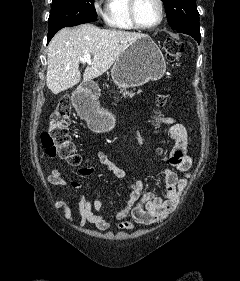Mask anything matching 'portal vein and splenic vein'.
Instances as JSON below:
<instances>
[{
	"label": "portal vein and splenic vein",
	"instance_id": "portal-vein-and-splenic-vein-1",
	"mask_svg": "<svg viewBox=\"0 0 240 281\" xmlns=\"http://www.w3.org/2000/svg\"><path fill=\"white\" fill-rule=\"evenodd\" d=\"M82 63H88L89 65H92L91 55L86 54L81 58Z\"/></svg>",
	"mask_w": 240,
	"mask_h": 281
}]
</instances>
